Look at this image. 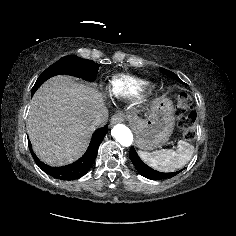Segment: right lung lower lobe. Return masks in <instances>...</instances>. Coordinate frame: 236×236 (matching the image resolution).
<instances>
[{
    "label": "right lung lower lobe",
    "instance_id": "1",
    "mask_svg": "<svg viewBox=\"0 0 236 236\" xmlns=\"http://www.w3.org/2000/svg\"><path fill=\"white\" fill-rule=\"evenodd\" d=\"M107 131V125L96 130L93 133L90 145L86 153L76 162L62 167H51L44 164L37 158L35 153L32 151L30 141H28V145L36 164L47 174L60 180H75L84 176L91 168L97 156L99 145L102 142Z\"/></svg>",
    "mask_w": 236,
    "mask_h": 236
}]
</instances>
